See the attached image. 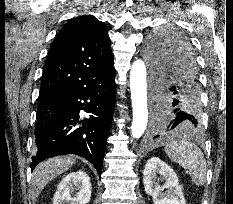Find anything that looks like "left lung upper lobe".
Listing matches in <instances>:
<instances>
[{
	"label": "left lung upper lobe",
	"instance_id": "left-lung-upper-lobe-1",
	"mask_svg": "<svg viewBox=\"0 0 233 204\" xmlns=\"http://www.w3.org/2000/svg\"><path fill=\"white\" fill-rule=\"evenodd\" d=\"M145 54L149 60L152 72L168 68L171 57L179 54L191 56L194 60L192 47L188 40L179 32L166 30L153 34L147 41ZM188 114L194 113L185 110Z\"/></svg>",
	"mask_w": 233,
	"mask_h": 204
}]
</instances>
